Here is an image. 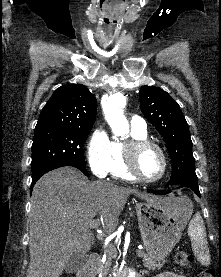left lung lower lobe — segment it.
Segmentation results:
<instances>
[{
	"label": "left lung lower lobe",
	"mask_w": 221,
	"mask_h": 277,
	"mask_svg": "<svg viewBox=\"0 0 221 277\" xmlns=\"http://www.w3.org/2000/svg\"><path fill=\"white\" fill-rule=\"evenodd\" d=\"M181 187H188V188L192 189L196 193V195H198L200 197L198 184H180V185L175 186V188H181ZM147 192H150L153 194H167L168 193V192H164L161 190H148Z\"/></svg>",
	"instance_id": "left-lung-lower-lobe-1"
}]
</instances>
